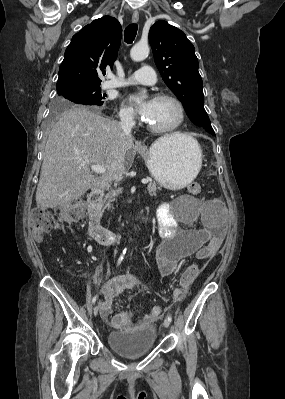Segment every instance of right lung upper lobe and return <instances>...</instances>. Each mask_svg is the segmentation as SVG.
I'll return each mask as SVG.
<instances>
[{
    "mask_svg": "<svg viewBox=\"0 0 285 399\" xmlns=\"http://www.w3.org/2000/svg\"><path fill=\"white\" fill-rule=\"evenodd\" d=\"M122 28L116 18L104 16L72 37L59 68L57 92L99 87V74L113 67L120 47Z\"/></svg>",
    "mask_w": 285,
    "mask_h": 399,
    "instance_id": "1",
    "label": "right lung upper lobe"
}]
</instances>
